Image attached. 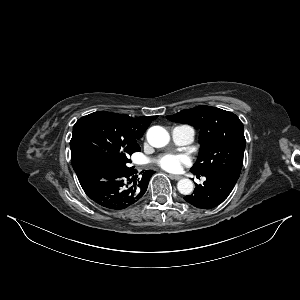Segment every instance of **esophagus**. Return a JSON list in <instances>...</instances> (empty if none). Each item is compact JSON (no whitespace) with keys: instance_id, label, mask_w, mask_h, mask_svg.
<instances>
[{"instance_id":"esophagus-1","label":"esophagus","mask_w":300,"mask_h":300,"mask_svg":"<svg viewBox=\"0 0 300 300\" xmlns=\"http://www.w3.org/2000/svg\"><path fill=\"white\" fill-rule=\"evenodd\" d=\"M171 179H174V180H180L182 178V176L180 175H169Z\"/></svg>"}]
</instances>
